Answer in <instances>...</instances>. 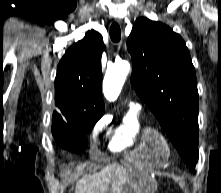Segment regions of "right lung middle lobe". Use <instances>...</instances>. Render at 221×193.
<instances>
[{"label": "right lung middle lobe", "mask_w": 221, "mask_h": 193, "mask_svg": "<svg viewBox=\"0 0 221 193\" xmlns=\"http://www.w3.org/2000/svg\"><path fill=\"white\" fill-rule=\"evenodd\" d=\"M102 115H90L82 118H53L52 134L62 148L82 153L88 144L86 134L91 131Z\"/></svg>", "instance_id": "right-lung-middle-lobe-1"}]
</instances>
